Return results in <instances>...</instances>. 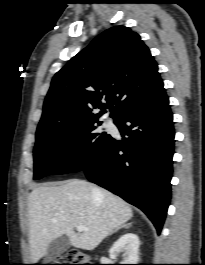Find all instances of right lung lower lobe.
I'll use <instances>...</instances> for the list:
<instances>
[{
	"mask_svg": "<svg viewBox=\"0 0 205 265\" xmlns=\"http://www.w3.org/2000/svg\"><path fill=\"white\" fill-rule=\"evenodd\" d=\"M122 136L110 138L83 169L87 178L140 208L160 234L171 196L174 128L163 89L146 105L114 122Z\"/></svg>",
	"mask_w": 205,
	"mask_h": 265,
	"instance_id": "obj_1",
	"label": "right lung lower lobe"
}]
</instances>
